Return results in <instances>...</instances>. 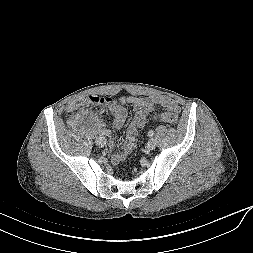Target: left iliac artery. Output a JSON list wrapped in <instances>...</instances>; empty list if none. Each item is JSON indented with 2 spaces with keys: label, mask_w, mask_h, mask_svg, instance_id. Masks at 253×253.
I'll use <instances>...</instances> for the list:
<instances>
[{
  "label": "left iliac artery",
  "mask_w": 253,
  "mask_h": 253,
  "mask_svg": "<svg viewBox=\"0 0 253 253\" xmlns=\"http://www.w3.org/2000/svg\"><path fill=\"white\" fill-rule=\"evenodd\" d=\"M153 135H154V131H153V130H149V131H148V136H149V137H152Z\"/></svg>",
  "instance_id": "obj_1"
}]
</instances>
